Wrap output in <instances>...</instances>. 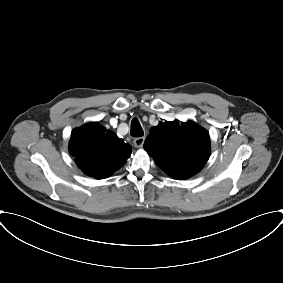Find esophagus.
Masks as SVG:
<instances>
[{
	"label": "esophagus",
	"mask_w": 283,
	"mask_h": 283,
	"mask_svg": "<svg viewBox=\"0 0 283 283\" xmlns=\"http://www.w3.org/2000/svg\"><path fill=\"white\" fill-rule=\"evenodd\" d=\"M144 141H145V137H136L133 140V145L136 148H141L143 146V144H144Z\"/></svg>",
	"instance_id": "obj_1"
}]
</instances>
